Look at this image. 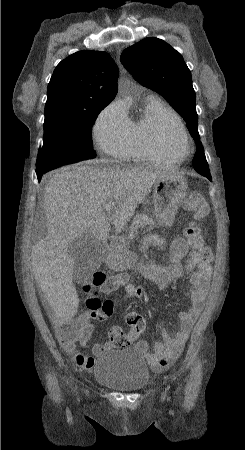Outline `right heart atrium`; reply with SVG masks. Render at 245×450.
Masks as SVG:
<instances>
[{"mask_svg": "<svg viewBox=\"0 0 245 450\" xmlns=\"http://www.w3.org/2000/svg\"><path fill=\"white\" fill-rule=\"evenodd\" d=\"M98 149L107 157L125 160L130 153L131 120L124 105L114 101L98 115L92 129Z\"/></svg>", "mask_w": 245, "mask_h": 450, "instance_id": "d8ad5b80", "label": "right heart atrium"}]
</instances>
